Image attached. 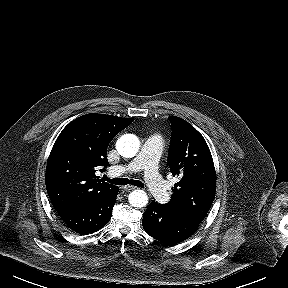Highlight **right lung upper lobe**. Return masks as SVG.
<instances>
[{
  "label": "right lung upper lobe",
  "mask_w": 288,
  "mask_h": 288,
  "mask_svg": "<svg viewBox=\"0 0 288 288\" xmlns=\"http://www.w3.org/2000/svg\"><path fill=\"white\" fill-rule=\"evenodd\" d=\"M133 120L91 113L63 129L48 158L45 178L57 212L85 205L117 187L98 179L95 172L109 165V143Z\"/></svg>",
  "instance_id": "1"
}]
</instances>
